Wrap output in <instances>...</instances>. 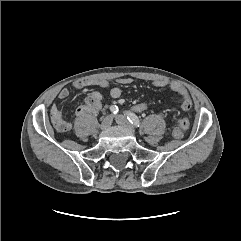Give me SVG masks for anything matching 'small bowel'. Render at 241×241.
I'll return each instance as SVG.
<instances>
[{
    "label": "small bowel",
    "instance_id": "1",
    "mask_svg": "<svg viewBox=\"0 0 241 241\" xmlns=\"http://www.w3.org/2000/svg\"><path fill=\"white\" fill-rule=\"evenodd\" d=\"M133 82L131 78L123 77L116 80L117 86H113L110 88V96L113 99H118L121 96V87L130 85ZM152 84L155 87L163 88L168 87L170 88L180 105V108L183 111H188L192 107L191 98L187 92V90L176 82H169L164 79H155L152 81ZM87 86H98L103 89H107L110 87V81L106 79H91V78H84L78 79L74 81L73 87L75 89H82ZM70 94V90L68 88H63L58 97L60 99H66ZM103 110L102 105V96L99 92L93 91L88 94V96L84 99V102L78 106L75 111V115L77 117L85 116L87 114H94L98 113L99 111ZM53 122H58V126L56 128L60 131H67L70 130L72 127V122L70 120H66L62 117V113L59 108L54 106L51 110Z\"/></svg>",
    "mask_w": 241,
    "mask_h": 241
}]
</instances>
